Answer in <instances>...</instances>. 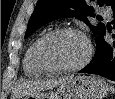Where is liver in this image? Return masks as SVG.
Wrapping results in <instances>:
<instances>
[{"mask_svg": "<svg viewBox=\"0 0 115 99\" xmlns=\"http://www.w3.org/2000/svg\"><path fill=\"white\" fill-rule=\"evenodd\" d=\"M74 75L69 76H62L59 78H52L49 80L44 81H31L21 84L20 86V92L23 95L35 93V92H41L45 90L52 89L54 87L60 86L64 82L72 79Z\"/></svg>", "mask_w": 115, "mask_h": 99, "instance_id": "liver-1", "label": "liver"}]
</instances>
